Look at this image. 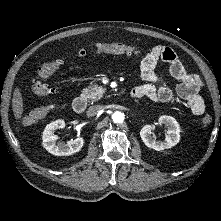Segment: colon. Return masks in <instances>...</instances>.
<instances>
[{
  "label": "colon",
  "instance_id": "1",
  "mask_svg": "<svg viewBox=\"0 0 221 221\" xmlns=\"http://www.w3.org/2000/svg\"><path fill=\"white\" fill-rule=\"evenodd\" d=\"M93 50L96 52H112V53H122V54H131L135 50L134 46L123 43V42H100L96 43L92 47H85L79 50L80 55H85L88 51ZM62 64V60L51 59L44 63L37 71L36 76L32 79L31 90L40 96H49L55 93L53 88L48 87L43 81L49 78ZM54 107L52 103L43 105L42 107L28 113L23 117L22 123L25 126L34 124L41 119H43L49 111ZM212 123V117L209 114H206L201 121V124L204 128H209Z\"/></svg>",
  "mask_w": 221,
  "mask_h": 221
}]
</instances>
